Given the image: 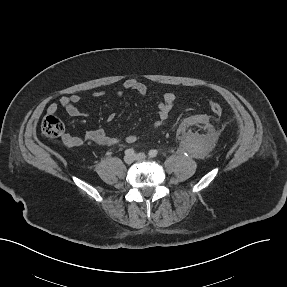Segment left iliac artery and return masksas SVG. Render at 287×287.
<instances>
[{"label":"left iliac artery","instance_id":"44dca946","mask_svg":"<svg viewBox=\"0 0 287 287\" xmlns=\"http://www.w3.org/2000/svg\"><path fill=\"white\" fill-rule=\"evenodd\" d=\"M148 154H149V156H150V157H152V158H153V157H156V156H157L158 151H157V150H155V149H152V150H150V151H149V153H148Z\"/></svg>","mask_w":287,"mask_h":287}]
</instances>
